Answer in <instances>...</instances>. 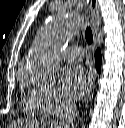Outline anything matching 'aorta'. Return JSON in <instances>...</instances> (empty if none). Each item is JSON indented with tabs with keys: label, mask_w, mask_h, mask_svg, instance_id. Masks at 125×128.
Returning <instances> with one entry per match:
<instances>
[{
	"label": "aorta",
	"mask_w": 125,
	"mask_h": 128,
	"mask_svg": "<svg viewBox=\"0 0 125 128\" xmlns=\"http://www.w3.org/2000/svg\"><path fill=\"white\" fill-rule=\"evenodd\" d=\"M78 26L79 19L75 16H54L38 31L30 57L31 73L38 82L49 84L57 79L58 54Z\"/></svg>",
	"instance_id": "obj_1"
}]
</instances>
